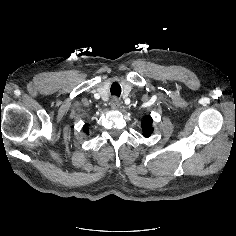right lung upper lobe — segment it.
Segmentation results:
<instances>
[{
	"instance_id": "obj_1",
	"label": "right lung upper lobe",
	"mask_w": 236,
	"mask_h": 236,
	"mask_svg": "<svg viewBox=\"0 0 236 236\" xmlns=\"http://www.w3.org/2000/svg\"><path fill=\"white\" fill-rule=\"evenodd\" d=\"M83 130L87 133L88 132V125H84Z\"/></svg>"
}]
</instances>
